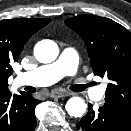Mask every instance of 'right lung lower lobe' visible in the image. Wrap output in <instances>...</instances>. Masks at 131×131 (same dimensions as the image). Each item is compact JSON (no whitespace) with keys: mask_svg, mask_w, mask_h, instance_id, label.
Instances as JSON below:
<instances>
[{"mask_svg":"<svg viewBox=\"0 0 131 131\" xmlns=\"http://www.w3.org/2000/svg\"><path fill=\"white\" fill-rule=\"evenodd\" d=\"M40 102L30 93L12 95L8 88L0 90V131H34L35 107Z\"/></svg>","mask_w":131,"mask_h":131,"instance_id":"1","label":"right lung lower lobe"}]
</instances>
